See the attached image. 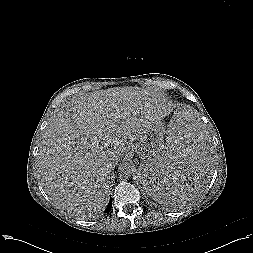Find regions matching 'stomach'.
Instances as JSON below:
<instances>
[{
	"label": "stomach",
	"instance_id": "obj_1",
	"mask_svg": "<svg viewBox=\"0 0 253 253\" xmlns=\"http://www.w3.org/2000/svg\"><path fill=\"white\" fill-rule=\"evenodd\" d=\"M167 134L168 130L165 129L164 124L161 121L155 123L147 129L142 136L130 143L129 151L136 153L145 164L148 161L151 152L155 149L158 141ZM143 166L141 167L140 172Z\"/></svg>",
	"mask_w": 253,
	"mask_h": 253
}]
</instances>
